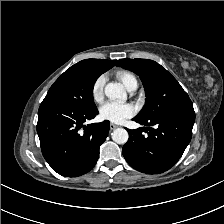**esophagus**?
Here are the masks:
<instances>
[{
  "label": "esophagus",
  "mask_w": 224,
  "mask_h": 224,
  "mask_svg": "<svg viewBox=\"0 0 224 224\" xmlns=\"http://www.w3.org/2000/svg\"><path fill=\"white\" fill-rule=\"evenodd\" d=\"M118 127V125L114 124V123H111L110 124V130H114Z\"/></svg>",
  "instance_id": "1"
}]
</instances>
